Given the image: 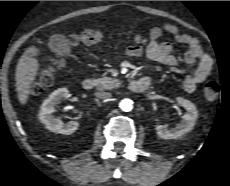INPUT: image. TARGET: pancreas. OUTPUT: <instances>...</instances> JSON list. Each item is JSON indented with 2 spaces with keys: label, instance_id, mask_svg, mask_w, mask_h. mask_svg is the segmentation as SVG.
Masks as SVG:
<instances>
[{
  "label": "pancreas",
  "instance_id": "1",
  "mask_svg": "<svg viewBox=\"0 0 230 186\" xmlns=\"http://www.w3.org/2000/svg\"><path fill=\"white\" fill-rule=\"evenodd\" d=\"M96 88L98 90H111L113 88L119 87L121 81L118 79H113L111 77H102L96 79Z\"/></svg>",
  "mask_w": 230,
  "mask_h": 186
}]
</instances>
